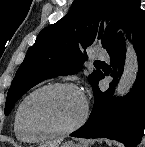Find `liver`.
<instances>
[{"instance_id":"6515ba94","label":"liver","mask_w":145,"mask_h":147,"mask_svg":"<svg viewBox=\"0 0 145 147\" xmlns=\"http://www.w3.org/2000/svg\"><path fill=\"white\" fill-rule=\"evenodd\" d=\"M61 140H56L53 142H47L46 144L41 145V147H59Z\"/></svg>"}]
</instances>
